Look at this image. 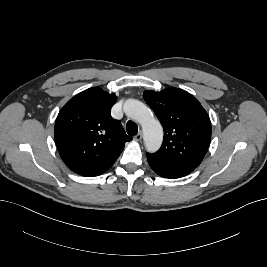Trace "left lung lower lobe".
Wrapping results in <instances>:
<instances>
[{"label": "left lung lower lobe", "instance_id": "0a47b994", "mask_svg": "<svg viewBox=\"0 0 267 267\" xmlns=\"http://www.w3.org/2000/svg\"><path fill=\"white\" fill-rule=\"evenodd\" d=\"M151 168L161 177L174 179L180 178L191 173L194 169L184 166L167 165L148 159Z\"/></svg>", "mask_w": 267, "mask_h": 267}]
</instances>
